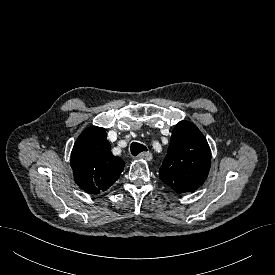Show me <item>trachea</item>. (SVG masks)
Returning <instances> with one entry per match:
<instances>
[{
  "mask_svg": "<svg viewBox=\"0 0 275 275\" xmlns=\"http://www.w3.org/2000/svg\"><path fill=\"white\" fill-rule=\"evenodd\" d=\"M130 151L133 156H137L139 153L147 151V147L143 144L133 142L130 147Z\"/></svg>",
  "mask_w": 275,
  "mask_h": 275,
  "instance_id": "1",
  "label": "trachea"
}]
</instances>
